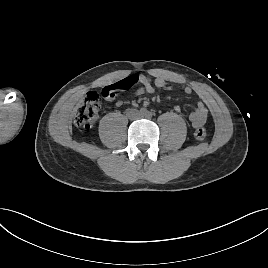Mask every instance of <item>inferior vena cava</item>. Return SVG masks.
Segmentation results:
<instances>
[{
  "instance_id": "obj_1",
  "label": "inferior vena cava",
  "mask_w": 268,
  "mask_h": 268,
  "mask_svg": "<svg viewBox=\"0 0 268 268\" xmlns=\"http://www.w3.org/2000/svg\"><path fill=\"white\" fill-rule=\"evenodd\" d=\"M128 116L131 118V119H136L138 117V113L137 111L134 113V114H131L130 112L128 113Z\"/></svg>"
}]
</instances>
